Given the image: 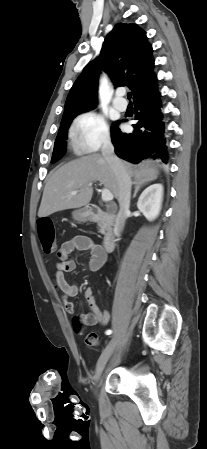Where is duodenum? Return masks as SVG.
I'll list each match as a JSON object with an SVG mask.
<instances>
[{
  "label": "duodenum",
  "instance_id": "obj_1",
  "mask_svg": "<svg viewBox=\"0 0 207 449\" xmlns=\"http://www.w3.org/2000/svg\"><path fill=\"white\" fill-rule=\"evenodd\" d=\"M87 213V219L91 222H103L106 224V235L103 240V247L106 251H111L114 249L116 241H117V234L115 230L112 227V224L116 220V216L113 212H103L99 207L97 206H89L86 209Z\"/></svg>",
  "mask_w": 207,
  "mask_h": 449
}]
</instances>
